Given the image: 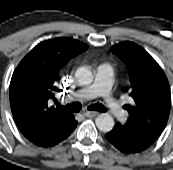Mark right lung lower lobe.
<instances>
[{
	"label": "right lung lower lobe",
	"instance_id": "right-lung-lower-lobe-1",
	"mask_svg": "<svg viewBox=\"0 0 173 170\" xmlns=\"http://www.w3.org/2000/svg\"><path fill=\"white\" fill-rule=\"evenodd\" d=\"M76 126L77 121L72 115L70 120L65 124L28 140L40 147H52L60 143L62 140L66 139L70 135V133L76 128Z\"/></svg>",
	"mask_w": 173,
	"mask_h": 170
}]
</instances>
